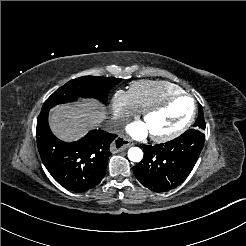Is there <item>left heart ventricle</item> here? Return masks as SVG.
<instances>
[{
  "label": "left heart ventricle",
  "mask_w": 246,
  "mask_h": 246,
  "mask_svg": "<svg viewBox=\"0 0 246 246\" xmlns=\"http://www.w3.org/2000/svg\"><path fill=\"white\" fill-rule=\"evenodd\" d=\"M188 99H179L167 109L152 114L144 125L150 134H163L174 130L183 121L187 113Z\"/></svg>",
  "instance_id": "obj_1"
}]
</instances>
